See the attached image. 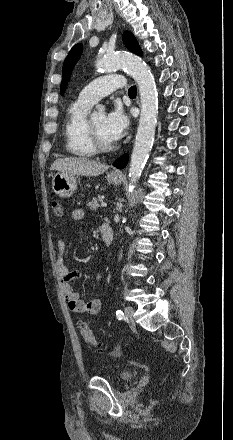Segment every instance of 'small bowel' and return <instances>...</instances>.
<instances>
[{
  "mask_svg": "<svg viewBox=\"0 0 233 440\" xmlns=\"http://www.w3.org/2000/svg\"><path fill=\"white\" fill-rule=\"evenodd\" d=\"M70 218L73 221H79L84 218V211L82 209H75L71 212ZM66 250V244L63 240L57 242V259L56 269L61 281V288L64 294V298L71 312L75 314H87L97 315L102 303L99 299H93L91 301H83L80 299L78 292L71 285V280L81 277L82 271H71L67 268L64 262L63 255ZM101 275L97 274V279H100Z\"/></svg>",
  "mask_w": 233,
  "mask_h": 440,
  "instance_id": "1",
  "label": "small bowel"
}]
</instances>
